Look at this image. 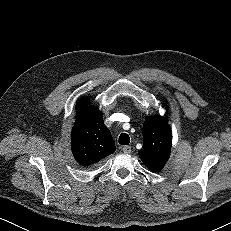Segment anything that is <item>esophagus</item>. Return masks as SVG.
<instances>
[{
    "label": "esophagus",
    "instance_id": "1",
    "mask_svg": "<svg viewBox=\"0 0 231 231\" xmlns=\"http://www.w3.org/2000/svg\"><path fill=\"white\" fill-rule=\"evenodd\" d=\"M122 150L125 154L131 153V147L130 146H124Z\"/></svg>",
    "mask_w": 231,
    "mask_h": 231
}]
</instances>
